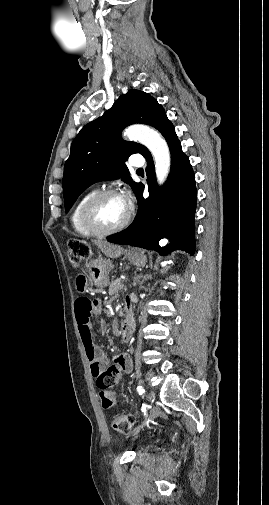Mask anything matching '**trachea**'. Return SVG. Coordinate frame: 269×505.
Returning <instances> with one entry per match:
<instances>
[{"label":"trachea","mask_w":269,"mask_h":505,"mask_svg":"<svg viewBox=\"0 0 269 505\" xmlns=\"http://www.w3.org/2000/svg\"><path fill=\"white\" fill-rule=\"evenodd\" d=\"M142 171H143V169H142V168H140V169H138V170H137V172H142Z\"/></svg>","instance_id":"3493384b"}]
</instances>
